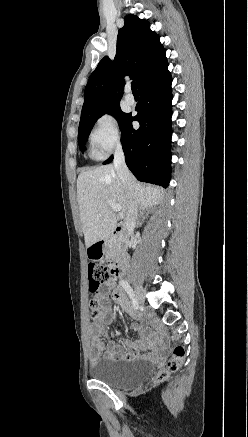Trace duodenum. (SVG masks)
Segmentation results:
<instances>
[{"label": "duodenum", "instance_id": "1", "mask_svg": "<svg viewBox=\"0 0 248 437\" xmlns=\"http://www.w3.org/2000/svg\"><path fill=\"white\" fill-rule=\"evenodd\" d=\"M114 235L120 236L124 233V227L120 224L116 225L112 232ZM107 240L106 239H100L93 243L92 246H89V248L86 250V255L88 257H99L102 255V252L104 251L106 247ZM128 262V258L124 254H120L115 258L114 263L112 264V273L115 276H119L124 268L126 267Z\"/></svg>", "mask_w": 248, "mask_h": 437}]
</instances>
